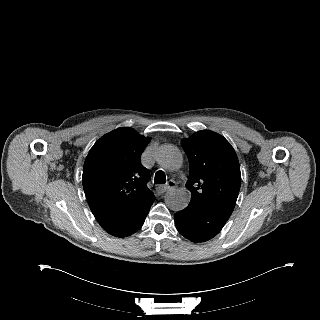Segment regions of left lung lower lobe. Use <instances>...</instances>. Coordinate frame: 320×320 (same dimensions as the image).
<instances>
[{"label":"left lung lower lobe","mask_w":320,"mask_h":320,"mask_svg":"<svg viewBox=\"0 0 320 320\" xmlns=\"http://www.w3.org/2000/svg\"><path fill=\"white\" fill-rule=\"evenodd\" d=\"M231 214L204 202L191 200L174 215L178 232L192 242H205L216 236Z\"/></svg>","instance_id":"1"}]
</instances>
